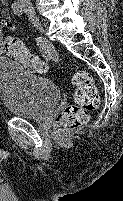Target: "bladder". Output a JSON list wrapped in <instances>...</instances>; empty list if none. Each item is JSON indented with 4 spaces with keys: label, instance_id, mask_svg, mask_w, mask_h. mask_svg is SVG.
Here are the masks:
<instances>
[{
    "label": "bladder",
    "instance_id": "1",
    "mask_svg": "<svg viewBox=\"0 0 123 201\" xmlns=\"http://www.w3.org/2000/svg\"><path fill=\"white\" fill-rule=\"evenodd\" d=\"M59 99V88L52 80L29 73L20 61L0 57V103L16 117L45 119Z\"/></svg>",
    "mask_w": 123,
    "mask_h": 201
}]
</instances>
